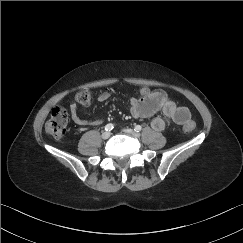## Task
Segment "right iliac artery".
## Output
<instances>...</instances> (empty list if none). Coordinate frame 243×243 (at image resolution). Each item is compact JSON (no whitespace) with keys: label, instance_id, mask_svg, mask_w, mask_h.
I'll use <instances>...</instances> for the list:
<instances>
[{"label":"right iliac artery","instance_id":"right-iliac-artery-1","mask_svg":"<svg viewBox=\"0 0 243 243\" xmlns=\"http://www.w3.org/2000/svg\"><path fill=\"white\" fill-rule=\"evenodd\" d=\"M114 128V125L112 123H109L105 126L106 131H111Z\"/></svg>","mask_w":243,"mask_h":243}]
</instances>
